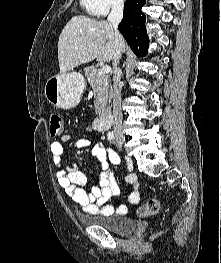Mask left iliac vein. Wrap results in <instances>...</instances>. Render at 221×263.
Segmentation results:
<instances>
[{
  "instance_id": "4c4485c4",
  "label": "left iliac vein",
  "mask_w": 221,
  "mask_h": 263,
  "mask_svg": "<svg viewBox=\"0 0 221 263\" xmlns=\"http://www.w3.org/2000/svg\"><path fill=\"white\" fill-rule=\"evenodd\" d=\"M116 146L120 149L122 147V144L119 143L118 139L116 141Z\"/></svg>"
}]
</instances>
